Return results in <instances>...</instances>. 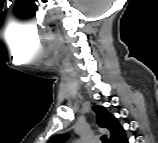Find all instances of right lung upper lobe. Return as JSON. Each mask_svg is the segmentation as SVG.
Returning <instances> with one entry per match:
<instances>
[{
    "label": "right lung upper lobe",
    "instance_id": "cb5924a9",
    "mask_svg": "<svg viewBox=\"0 0 158 143\" xmlns=\"http://www.w3.org/2000/svg\"><path fill=\"white\" fill-rule=\"evenodd\" d=\"M93 110L97 114V123L100 127L110 131L111 143H120L126 139L123 127L118 123L117 119L102 106H94ZM68 135H55L50 139V143H64L68 139Z\"/></svg>",
    "mask_w": 158,
    "mask_h": 143
}]
</instances>
